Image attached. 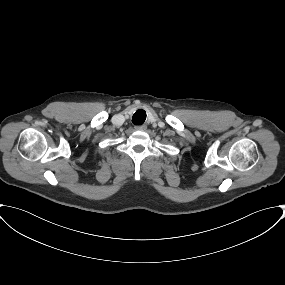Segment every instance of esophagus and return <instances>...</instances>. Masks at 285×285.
Returning <instances> with one entry per match:
<instances>
[{"mask_svg": "<svg viewBox=\"0 0 285 285\" xmlns=\"http://www.w3.org/2000/svg\"><path fill=\"white\" fill-rule=\"evenodd\" d=\"M146 129H147L146 125L135 126V130H138V131H145Z\"/></svg>", "mask_w": 285, "mask_h": 285, "instance_id": "1", "label": "esophagus"}]
</instances>
